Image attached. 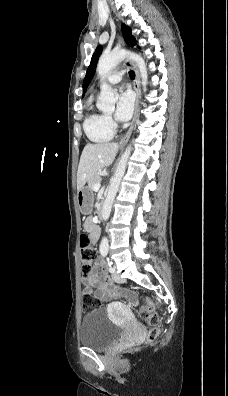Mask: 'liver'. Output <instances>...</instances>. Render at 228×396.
Returning <instances> with one entry per match:
<instances>
[{"label": "liver", "mask_w": 228, "mask_h": 396, "mask_svg": "<svg viewBox=\"0 0 228 396\" xmlns=\"http://www.w3.org/2000/svg\"><path fill=\"white\" fill-rule=\"evenodd\" d=\"M119 145L114 142L88 143L85 145L78 166L77 190H81L97 172L110 166L118 152Z\"/></svg>", "instance_id": "liver-1"}]
</instances>
